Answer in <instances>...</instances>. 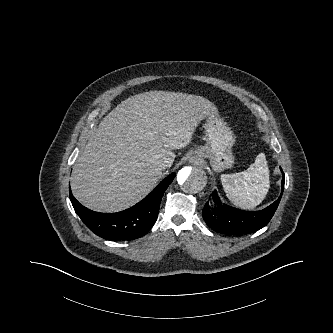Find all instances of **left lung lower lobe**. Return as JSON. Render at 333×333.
<instances>
[{
  "label": "left lung lower lobe",
  "mask_w": 333,
  "mask_h": 333,
  "mask_svg": "<svg viewBox=\"0 0 333 333\" xmlns=\"http://www.w3.org/2000/svg\"><path fill=\"white\" fill-rule=\"evenodd\" d=\"M285 176L282 178L280 197L260 211H243L222 204L216 191L212 193V200L205 204L203 219L213 230L223 234H249L266 226L274 215L284 189Z\"/></svg>",
  "instance_id": "1"
}]
</instances>
